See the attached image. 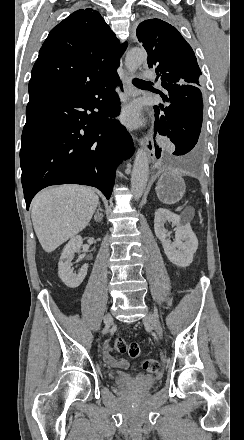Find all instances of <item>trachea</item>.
<instances>
[{
    "mask_svg": "<svg viewBox=\"0 0 244 440\" xmlns=\"http://www.w3.org/2000/svg\"><path fill=\"white\" fill-rule=\"evenodd\" d=\"M142 83H151V82H146L145 80L133 79V84L135 86H139Z\"/></svg>",
    "mask_w": 244,
    "mask_h": 440,
    "instance_id": "obj_1",
    "label": "trachea"
}]
</instances>
